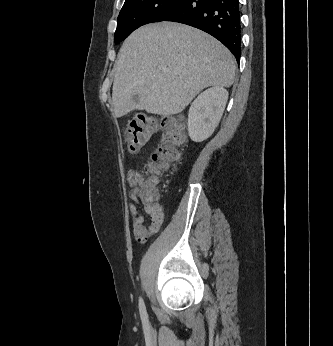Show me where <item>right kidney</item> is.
Listing matches in <instances>:
<instances>
[{"instance_id": "right-kidney-1", "label": "right kidney", "mask_w": 333, "mask_h": 346, "mask_svg": "<svg viewBox=\"0 0 333 346\" xmlns=\"http://www.w3.org/2000/svg\"><path fill=\"white\" fill-rule=\"evenodd\" d=\"M228 99V91L214 86L193 101L188 113V133L191 140L207 139L217 127Z\"/></svg>"}]
</instances>
